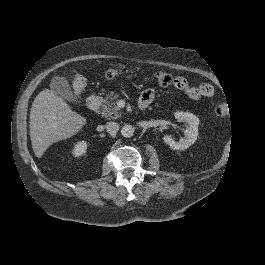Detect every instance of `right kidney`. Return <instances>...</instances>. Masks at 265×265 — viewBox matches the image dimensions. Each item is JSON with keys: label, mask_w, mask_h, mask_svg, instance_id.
<instances>
[{"label": "right kidney", "mask_w": 265, "mask_h": 265, "mask_svg": "<svg viewBox=\"0 0 265 265\" xmlns=\"http://www.w3.org/2000/svg\"><path fill=\"white\" fill-rule=\"evenodd\" d=\"M87 145L84 142H80L75 147V154L81 156L86 153Z\"/></svg>", "instance_id": "obj_1"}]
</instances>
